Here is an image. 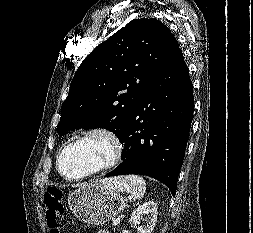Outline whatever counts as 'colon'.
<instances>
[{"mask_svg":"<svg viewBox=\"0 0 253 233\" xmlns=\"http://www.w3.org/2000/svg\"><path fill=\"white\" fill-rule=\"evenodd\" d=\"M45 216L50 233H62L66 224L62 192L57 188H49L43 196Z\"/></svg>","mask_w":253,"mask_h":233,"instance_id":"5ec220e1","label":"colon"}]
</instances>
